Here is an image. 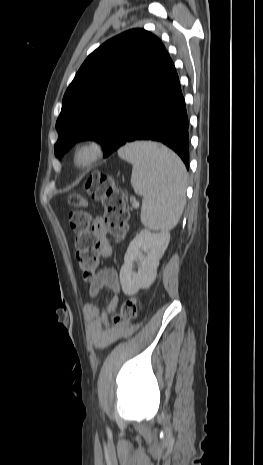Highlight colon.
I'll use <instances>...</instances> for the list:
<instances>
[{
  "label": "colon",
  "instance_id": "obj_1",
  "mask_svg": "<svg viewBox=\"0 0 263 465\" xmlns=\"http://www.w3.org/2000/svg\"><path fill=\"white\" fill-rule=\"evenodd\" d=\"M85 190L90 197L102 203V222L117 240H122L127 233L129 214L123 193L116 186L114 179L102 173L92 174L85 183ZM69 203L75 207L69 214V224L76 235V259L85 281L92 282L98 266V240L91 226V217L83 210L85 199L75 194L70 196ZM137 311V300H126L120 310L111 317V327L129 331Z\"/></svg>",
  "mask_w": 263,
  "mask_h": 465
}]
</instances>
